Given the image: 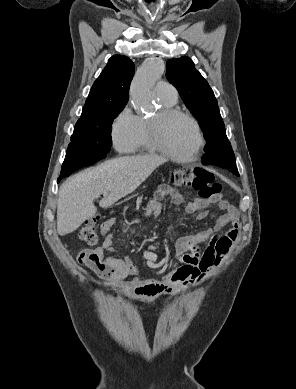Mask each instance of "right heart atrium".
Instances as JSON below:
<instances>
[{"label":"right heart atrium","instance_id":"1","mask_svg":"<svg viewBox=\"0 0 296 389\" xmlns=\"http://www.w3.org/2000/svg\"><path fill=\"white\" fill-rule=\"evenodd\" d=\"M139 117L126 105L114 118L111 125V139L119 152L132 151L138 134Z\"/></svg>","mask_w":296,"mask_h":389}]
</instances>
